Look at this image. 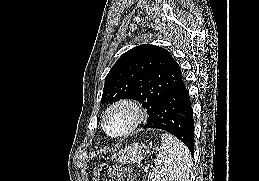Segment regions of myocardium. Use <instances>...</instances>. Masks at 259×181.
Segmentation results:
<instances>
[{"mask_svg":"<svg viewBox=\"0 0 259 181\" xmlns=\"http://www.w3.org/2000/svg\"><path fill=\"white\" fill-rule=\"evenodd\" d=\"M125 109L131 114L129 125L121 132L112 133L108 129V118L116 110ZM145 114L142 106L134 99L121 98L111 103L102 116V127L107 135L113 138H121L132 133L144 121Z\"/></svg>","mask_w":259,"mask_h":181,"instance_id":"myocardium-1","label":"myocardium"}]
</instances>
